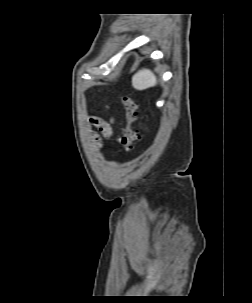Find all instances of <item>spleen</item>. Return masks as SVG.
<instances>
[{
  "label": "spleen",
  "instance_id": "obj_1",
  "mask_svg": "<svg viewBox=\"0 0 252 303\" xmlns=\"http://www.w3.org/2000/svg\"><path fill=\"white\" fill-rule=\"evenodd\" d=\"M156 76L149 69H141L132 77V86L139 91L155 86Z\"/></svg>",
  "mask_w": 252,
  "mask_h": 303
}]
</instances>
